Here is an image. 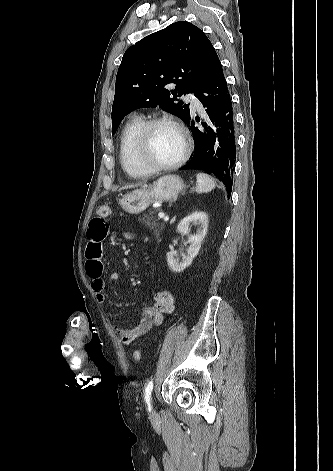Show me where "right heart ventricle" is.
Listing matches in <instances>:
<instances>
[{"label":"right heart ventricle","mask_w":333,"mask_h":471,"mask_svg":"<svg viewBox=\"0 0 333 471\" xmlns=\"http://www.w3.org/2000/svg\"><path fill=\"white\" fill-rule=\"evenodd\" d=\"M145 121L138 116L130 118L122 128L119 139V161L124 172L131 178H143L151 174L141 166L136 156L137 138Z\"/></svg>","instance_id":"right-heart-ventricle-1"}]
</instances>
